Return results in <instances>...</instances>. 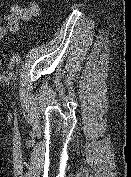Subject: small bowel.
<instances>
[{"instance_id": "1", "label": "small bowel", "mask_w": 131, "mask_h": 177, "mask_svg": "<svg viewBox=\"0 0 131 177\" xmlns=\"http://www.w3.org/2000/svg\"><path fill=\"white\" fill-rule=\"evenodd\" d=\"M39 13V5L34 0H29L26 6L14 4L11 6L8 15L5 17L4 23L0 24V40L7 33H17L22 22H28L36 17Z\"/></svg>"}]
</instances>
